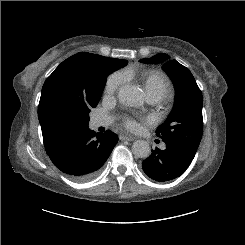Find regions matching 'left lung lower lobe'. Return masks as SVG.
<instances>
[{"label":"left lung lower lobe","mask_w":245,"mask_h":245,"mask_svg":"<svg viewBox=\"0 0 245 245\" xmlns=\"http://www.w3.org/2000/svg\"><path fill=\"white\" fill-rule=\"evenodd\" d=\"M165 144V150L156 148L142 163L144 172L159 182L181 176L196 154V151L179 142H165Z\"/></svg>","instance_id":"left-lung-lower-lobe-1"}]
</instances>
